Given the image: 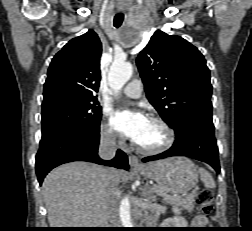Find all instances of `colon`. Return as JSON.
<instances>
[{"label":"colon","instance_id":"obj_1","mask_svg":"<svg viewBox=\"0 0 252 231\" xmlns=\"http://www.w3.org/2000/svg\"><path fill=\"white\" fill-rule=\"evenodd\" d=\"M197 206L201 213L207 218L213 208V193L209 189L201 190L197 195Z\"/></svg>","mask_w":252,"mask_h":231}]
</instances>
